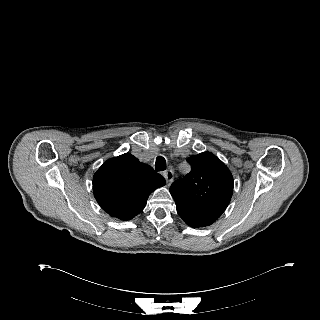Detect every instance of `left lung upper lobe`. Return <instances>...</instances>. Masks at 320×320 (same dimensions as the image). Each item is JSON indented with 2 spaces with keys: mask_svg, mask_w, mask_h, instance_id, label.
Returning a JSON list of instances; mask_svg holds the SVG:
<instances>
[{
  "mask_svg": "<svg viewBox=\"0 0 320 320\" xmlns=\"http://www.w3.org/2000/svg\"><path fill=\"white\" fill-rule=\"evenodd\" d=\"M191 171L170 187L175 203H181L206 214L220 216L233 193L229 169L212 153L190 156Z\"/></svg>",
  "mask_w": 320,
  "mask_h": 320,
  "instance_id": "5c2ea615",
  "label": "left lung upper lobe"
}]
</instances>
